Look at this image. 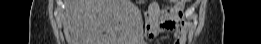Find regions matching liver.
<instances>
[{"instance_id": "1", "label": "liver", "mask_w": 261, "mask_h": 44, "mask_svg": "<svg viewBox=\"0 0 261 44\" xmlns=\"http://www.w3.org/2000/svg\"><path fill=\"white\" fill-rule=\"evenodd\" d=\"M75 44H139L144 25L130 0H66ZM129 40V41H126Z\"/></svg>"}]
</instances>
